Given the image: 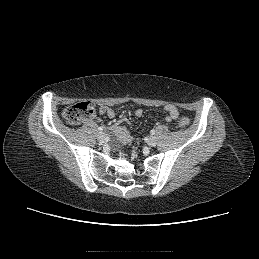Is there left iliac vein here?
I'll list each match as a JSON object with an SVG mask.
<instances>
[{
  "label": "left iliac vein",
  "instance_id": "left-iliac-vein-1",
  "mask_svg": "<svg viewBox=\"0 0 259 259\" xmlns=\"http://www.w3.org/2000/svg\"><path fill=\"white\" fill-rule=\"evenodd\" d=\"M147 144L150 146V147H154L156 146L157 144V139L154 137V136H150L147 140Z\"/></svg>",
  "mask_w": 259,
  "mask_h": 259
}]
</instances>
